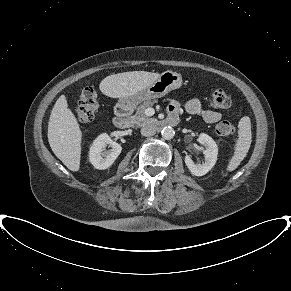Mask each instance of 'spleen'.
Returning <instances> with one entry per match:
<instances>
[{
	"label": "spleen",
	"instance_id": "obj_1",
	"mask_svg": "<svg viewBox=\"0 0 291 291\" xmlns=\"http://www.w3.org/2000/svg\"><path fill=\"white\" fill-rule=\"evenodd\" d=\"M238 127L239 138L236 142L233 156L231 157L227 166V171L229 172L234 171L240 165V163L246 157L251 145L252 134L249 118L243 117L240 120Z\"/></svg>",
	"mask_w": 291,
	"mask_h": 291
}]
</instances>
